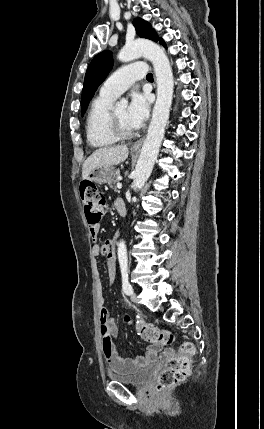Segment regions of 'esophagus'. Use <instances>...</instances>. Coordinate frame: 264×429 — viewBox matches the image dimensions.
Masks as SVG:
<instances>
[{"mask_svg": "<svg viewBox=\"0 0 264 429\" xmlns=\"http://www.w3.org/2000/svg\"><path fill=\"white\" fill-rule=\"evenodd\" d=\"M143 142H144V137L141 138V139H139L135 143H133L132 146H131V148L132 149H139L142 146Z\"/></svg>", "mask_w": 264, "mask_h": 429, "instance_id": "obj_1", "label": "esophagus"}]
</instances>
